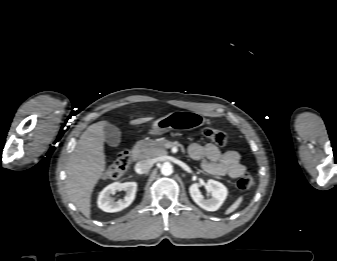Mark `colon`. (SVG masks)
<instances>
[{"instance_id":"colon-1","label":"colon","mask_w":337,"mask_h":261,"mask_svg":"<svg viewBox=\"0 0 337 261\" xmlns=\"http://www.w3.org/2000/svg\"><path fill=\"white\" fill-rule=\"evenodd\" d=\"M200 134L217 146L224 147L227 144V136L222 131L212 128H203ZM130 163L131 158L128 151H120L117 159L106 168L104 177L106 179H118L122 177L128 170ZM254 184V178L249 173L243 174L237 181V187L240 190H248L252 188Z\"/></svg>"}]
</instances>
